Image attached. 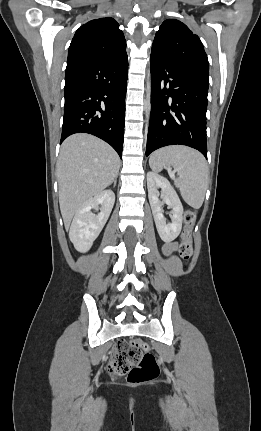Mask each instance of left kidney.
Masks as SVG:
<instances>
[{
  "mask_svg": "<svg viewBox=\"0 0 261 431\" xmlns=\"http://www.w3.org/2000/svg\"><path fill=\"white\" fill-rule=\"evenodd\" d=\"M148 198L159 236L164 242H171L178 237L182 229L183 206L169 181L155 172L147 173ZM158 188H161L159 200ZM172 208V222L166 224L162 214L163 204Z\"/></svg>",
  "mask_w": 261,
  "mask_h": 431,
  "instance_id": "5707ae66",
  "label": "left kidney"
}]
</instances>
